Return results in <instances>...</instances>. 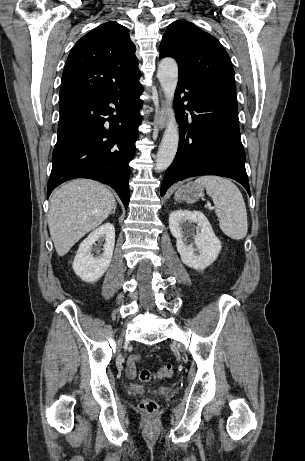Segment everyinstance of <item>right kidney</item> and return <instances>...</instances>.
<instances>
[{
    "mask_svg": "<svg viewBox=\"0 0 305 461\" xmlns=\"http://www.w3.org/2000/svg\"><path fill=\"white\" fill-rule=\"evenodd\" d=\"M104 238L103 253L94 257L93 245ZM115 245V228L111 223H105L93 230L80 244L73 261V270L83 281L93 283L99 280L110 266Z\"/></svg>",
    "mask_w": 305,
    "mask_h": 461,
    "instance_id": "ca27d5eb",
    "label": "right kidney"
}]
</instances>
